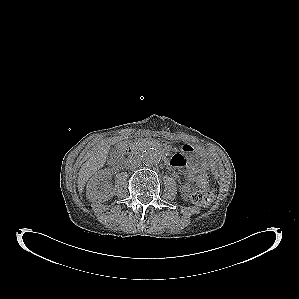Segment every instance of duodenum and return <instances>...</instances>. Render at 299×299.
Segmentation results:
<instances>
[{"label": "duodenum", "instance_id": "duodenum-1", "mask_svg": "<svg viewBox=\"0 0 299 299\" xmlns=\"http://www.w3.org/2000/svg\"><path fill=\"white\" fill-rule=\"evenodd\" d=\"M137 151H138V147L136 145H129L125 149L122 157L118 160V164L125 163L129 158H131L134 155H136ZM169 164H170V162H169Z\"/></svg>", "mask_w": 299, "mask_h": 299}]
</instances>
